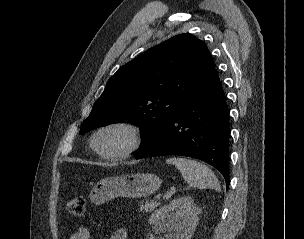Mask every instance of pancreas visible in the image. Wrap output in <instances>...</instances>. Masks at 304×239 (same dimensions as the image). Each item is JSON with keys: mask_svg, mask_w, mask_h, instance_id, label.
I'll list each match as a JSON object with an SVG mask.
<instances>
[{"mask_svg": "<svg viewBox=\"0 0 304 239\" xmlns=\"http://www.w3.org/2000/svg\"><path fill=\"white\" fill-rule=\"evenodd\" d=\"M158 206L157 202L150 201V202H145L140 204V211L143 213H148L152 212L156 207Z\"/></svg>", "mask_w": 304, "mask_h": 239, "instance_id": "cf45deb5", "label": "pancreas"}]
</instances>
